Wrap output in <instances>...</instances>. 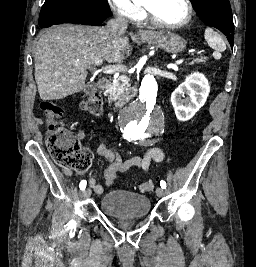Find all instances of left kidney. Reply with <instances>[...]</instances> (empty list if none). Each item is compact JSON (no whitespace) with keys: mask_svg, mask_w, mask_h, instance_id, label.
<instances>
[{"mask_svg":"<svg viewBox=\"0 0 256 267\" xmlns=\"http://www.w3.org/2000/svg\"><path fill=\"white\" fill-rule=\"evenodd\" d=\"M210 92L207 78L199 72L186 76L185 82L172 92L171 102L179 122H187L204 106ZM186 100H182L184 96Z\"/></svg>","mask_w":256,"mask_h":267,"instance_id":"5707ae66","label":"left kidney"}]
</instances>
